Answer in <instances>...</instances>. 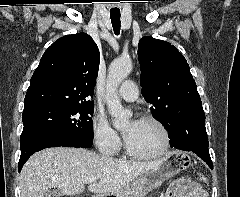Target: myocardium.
<instances>
[{
	"instance_id": "1",
	"label": "myocardium",
	"mask_w": 240,
	"mask_h": 197,
	"mask_svg": "<svg viewBox=\"0 0 240 197\" xmlns=\"http://www.w3.org/2000/svg\"><path fill=\"white\" fill-rule=\"evenodd\" d=\"M140 120L153 123L159 128V130L161 131V134H162V138H163L162 146L160 147L159 150H157L153 153L143 154V153L135 152L133 149L130 148L127 141H125L126 154L134 159H139V160H152V159H157V158L163 156L170 147V134H169V131H168L166 125L160 119H158L157 117L152 116V115H144L141 117Z\"/></svg>"
}]
</instances>
